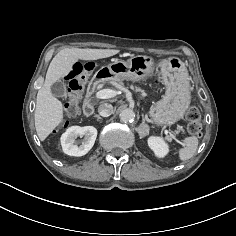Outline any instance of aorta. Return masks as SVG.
I'll return each mask as SVG.
<instances>
[{
    "label": "aorta",
    "mask_w": 236,
    "mask_h": 236,
    "mask_svg": "<svg viewBox=\"0 0 236 236\" xmlns=\"http://www.w3.org/2000/svg\"><path fill=\"white\" fill-rule=\"evenodd\" d=\"M119 117L122 122L131 123L134 121L135 113L131 109H124L123 111H121Z\"/></svg>",
    "instance_id": "aorta-1"
}]
</instances>
